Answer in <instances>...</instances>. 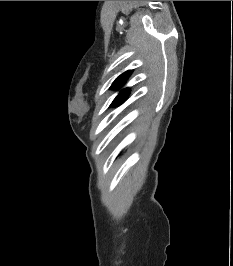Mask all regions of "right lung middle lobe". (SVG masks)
Instances as JSON below:
<instances>
[{
    "mask_svg": "<svg viewBox=\"0 0 233 266\" xmlns=\"http://www.w3.org/2000/svg\"><path fill=\"white\" fill-rule=\"evenodd\" d=\"M127 94L124 95H118L114 101L112 102V106H117L119 104H121L122 102H124L126 100Z\"/></svg>",
    "mask_w": 233,
    "mask_h": 266,
    "instance_id": "1",
    "label": "right lung middle lobe"
}]
</instances>
